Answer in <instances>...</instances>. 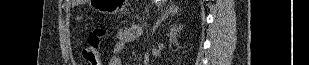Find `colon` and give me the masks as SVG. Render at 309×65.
Here are the masks:
<instances>
[{
  "mask_svg": "<svg viewBox=\"0 0 309 65\" xmlns=\"http://www.w3.org/2000/svg\"><path fill=\"white\" fill-rule=\"evenodd\" d=\"M105 36V30L98 28L89 34L87 43L83 48L82 54L84 59L90 65H101L102 54L100 51V45Z\"/></svg>",
  "mask_w": 309,
  "mask_h": 65,
  "instance_id": "obj_1",
  "label": "colon"
}]
</instances>
